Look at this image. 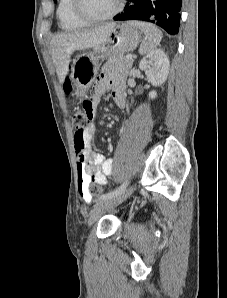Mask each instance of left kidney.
I'll use <instances>...</instances> for the list:
<instances>
[{
    "label": "left kidney",
    "instance_id": "5707ae66",
    "mask_svg": "<svg viewBox=\"0 0 227 298\" xmlns=\"http://www.w3.org/2000/svg\"><path fill=\"white\" fill-rule=\"evenodd\" d=\"M170 62L162 49L148 53L139 63V68L145 72L147 79L155 87L164 83L168 77ZM156 91H151L149 97L155 99Z\"/></svg>",
    "mask_w": 227,
    "mask_h": 298
}]
</instances>
